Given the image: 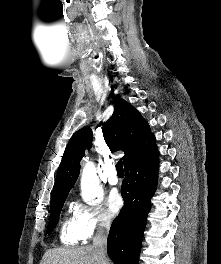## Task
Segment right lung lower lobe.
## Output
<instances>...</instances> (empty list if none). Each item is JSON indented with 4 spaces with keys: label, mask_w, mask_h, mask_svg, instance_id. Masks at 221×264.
<instances>
[{
    "label": "right lung lower lobe",
    "mask_w": 221,
    "mask_h": 264,
    "mask_svg": "<svg viewBox=\"0 0 221 264\" xmlns=\"http://www.w3.org/2000/svg\"><path fill=\"white\" fill-rule=\"evenodd\" d=\"M159 153L125 168L121 186L124 208L110 228L107 253L115 264H138L151 198L157 187Z\"/></svg>",
    "instance_id": "right-lung-lower-lobe-1"
}]
</instances>
